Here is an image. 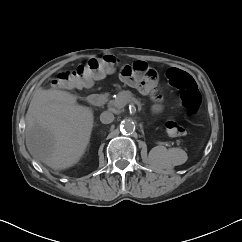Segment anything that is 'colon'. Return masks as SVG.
<instances>
[{
  "label": "colon",
  "instance_id": "1",
  "mask_svg": "<svg viewBox=\"0 0 242 242\" xmlns=\"http://www.w3.org/2000/svg\"><path fill=\"white\" fill-rule=\"evenodd\" d=\"M119 60L111 55L97 59H90L85 64L79 65L74 69L62 71L53 81V86L63 89H82L93 85L95 79L106 71H114L118 67ZM124 65L120 72L128 80H137L140 87H145L149 91H154L157 87L156 72L140 63L137 65ZM168 80L181 91V101L183 107L188 111H195L201 104V94L191 75L177 68L169 69ZM166 129L171 136H183L184 129L177 123L171 121L166 125Z\"/></svg>",
  "mask_w": 242,
  "mask_h": 242
}]
</instances>
